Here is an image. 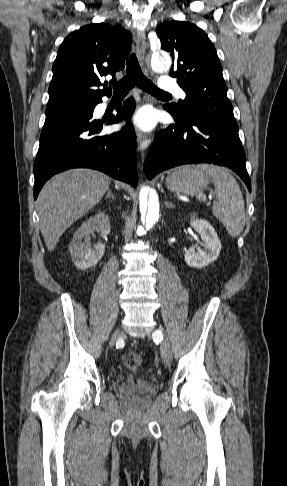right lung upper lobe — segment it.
<instances>
[{
  "instance_id": "right-lung-upper-lobe-1",
  "label": "right lung upper lobe",
  "mask_w": 287,
  "mask_h": 486,
  "mask_svg": "<svg viewBox=\"0 0 287 486\" xmlns=\"http://www.w3.org/2000/svg\"><path fill=\"white\" fill-rule=\"evenodd\" d=\"M130 34L106 23L90 24L68 35L60 45L53 64L46 109L75 104H92L110 96L111 89L100 85L110 74L125 67L130 50Z\"/></svg>"
}]
</instances>
